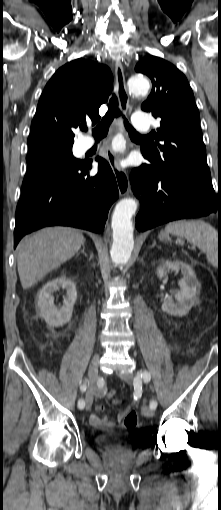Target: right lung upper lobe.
<instances>
[{
  "label": "right lung upper lobe",
  "instance_id": "1",
  "mask_svg": "<svg viewBox=\"0 0 221 510\" xmlns=\"http://www.w3.org/2000/svg\"><path fill=\"white\" fill-rule=\"evenodd\" d=\"M112 80L107 66L82 58L59 68L38 102L28 152L46 146L72 147L74 129L99 121V107L108 100Z\"/></svg>",
  "mask_w": 221,
  "mask_h": 510
}]
</instances>
